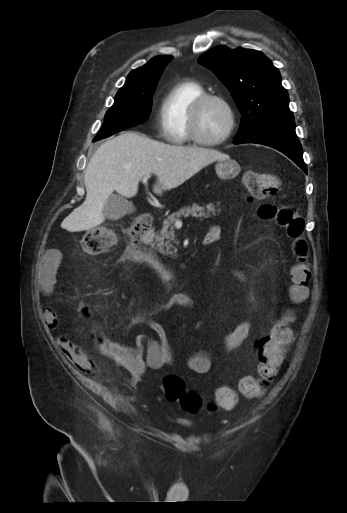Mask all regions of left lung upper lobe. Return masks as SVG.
I'll list each match as a JSON object with an SVG mask.
<instances>
[{"label": "left lung upper lobe", "mask_w": 347, "mask_h": 513, "mask_svg": "<svg viewBox=\"0 0 347 513\" xmlns=\"http://www.w3.org/2000/svg\"><path fill=\"white\" fill-rule=\"evenodd\" d=\"M199 62L224 83L242 114L235 139L272 123L294 122L280 73L261 52L218 46L200 56Z\"/></svg>", "instance_id": "obj_1"}]
</instances>
